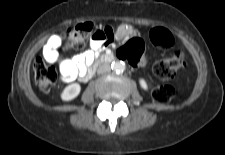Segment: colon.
<instances>
[{
    "label": "colon",
    "instance_id": "obj_1",
    "mask_svg": "<svg viewBox=\"0 0 225 155\" xmlns=\"http://www.w3.org/2000/svg\"><path fill=\"white\" fill-rule=\"evenodd\" d=\"M92 31L93 25L89 22L80 23L69 28L63 35L65 47L77 51L82 50L87 37ZM149 40L152 44L161 47H170L174 43L171 32L163 27L153 28L149 33ZM144 51L143 38L135 36L122 48L116 50L115 57L119 61L127 59L129 65L136 66L141 63ZM186 65L185 53L179 49L172 57L157 61L153 66V73L159 80L168 82ZM33 71L36 84L43 91L48 90L58 79L55 67L42 58H37L34 61ZM151 96L157 103H168L174 96V89L168 84L156 85L151 89Z\"/></svg>",
    "mask_w": 225,
    "mask_h": 155
}]
</instances>
